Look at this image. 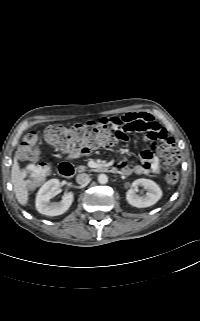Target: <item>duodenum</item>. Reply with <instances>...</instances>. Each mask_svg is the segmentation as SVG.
Returning <instances> with one entry per match:
<instances>
[{
    "mask_svg": "<svg viewBox=\"0 0 200 321\" xmlns=\"http://www.w3.org/2000/svg\"><path fill=\"white\" fill-rule=\"evenodd\" d=\"M93 170L97 172L118 173L116 167L107 165H99ZM58 172L64 178H71L75 173V169L71 164L64 162L59 165Z\"/></svg>",
    "mask_w": 200,
    "mask_h": 321,
    "instance_id": "obj_1",
    "label": "duodenum"
}]
</instances>
